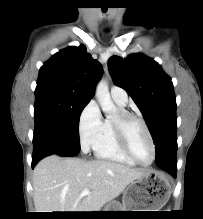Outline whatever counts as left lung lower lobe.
<instances>
[{"mask_svg":"<svg viewBox=\"0 0 203 219\" xmlns=\"http://www.w3.org/2000/svg\"><path fill=\"white\" fill-rule=\"evenodd\" d=\"M176 152L177 151L169 152L162 159L156 161L158 167L167 171L174 178H176L177 173Z\"/></svg>","mask_w":203,"mask_h":219,"instance_id":"left-lung-lower-lobe-1","label":"left lung lower lobe"}]
</instances>
